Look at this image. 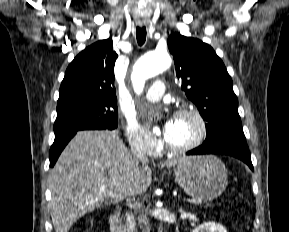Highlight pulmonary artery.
<instances>
[{"label": "pulmonary artery", "mask_w": 289, "mask_h": 232, "mask_svg": "<svg viewBox=\"0 0 289 232\" xmlns=\"http://www.w3.org/2000/svg\"><path fill=\"white\" fill-rule=\"evenodd\" d=\"M165 92V85L162 81L158 80L153 83L149 90L145 94V99L154 102L158 101Z\"/></svg>", "instance_id": "obj_1"}]
</instances>
